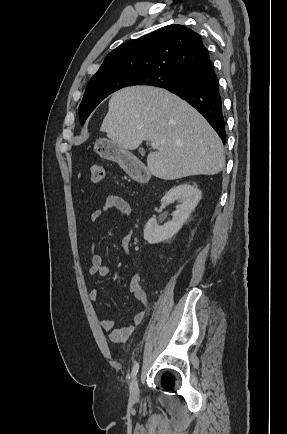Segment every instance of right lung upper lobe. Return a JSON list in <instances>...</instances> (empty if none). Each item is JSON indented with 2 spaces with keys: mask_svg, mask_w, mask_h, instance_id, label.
<instances>
[{
  "mask_svg": "<svg viewBox=\"0 0 287 434\" xmlns=\"http://www.w3.org/2000/svg\"><path fill=\"white\" fill-rule=\"evenodd\" d=\"M207 58L196 32L184 25H168L111 51L90 81L144 73L180 75Z\"/></svg>",
  "mask_w": 287,
  "mask_h": 434,
  "instance_id": "cb5924a9",
  "label": "right lung upper lobe"
}]
</instances>
